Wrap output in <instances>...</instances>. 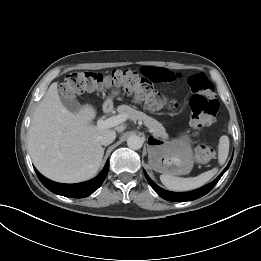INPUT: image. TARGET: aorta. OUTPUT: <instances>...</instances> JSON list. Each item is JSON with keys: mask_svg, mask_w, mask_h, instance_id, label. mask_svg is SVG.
<instances>
[{"mask_svg": "<svg viewBox=\"0 0 261 261\" xmlns=\"http://www.w3.org/2000/svg\"><path fill=\"white\" fill-rule=\"evenodd\" d=\"M127 146L130 149L138 150L143 146V140L137 135H131L127 139Z\"/></svg>", "mask_w": 261, "mask_h": 261, "instance_id": "1", "label": "aorta"}]
</instances>
